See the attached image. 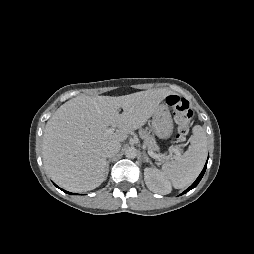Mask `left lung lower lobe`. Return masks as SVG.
Here are the masks:
<instances>
[{"label": "left lung lower lobe", "mask_w": 254, "mask_h": 254, "mask_svg": "<svg viewBox=\"0 0 254 254\" xmlns=\"http://www.w3.org/2000/svg\"><path fill=\"white\" fill-rule=\"evenodd\" d=\"M206 167H207V163H206L204 169L202 170L201 174L196 179V181L187 190H185L182 194L187 193L189 190H191V189H193L194 187L197 186V184L200 182V180L202 179V177L205 173Z\"/></svg>", "instance_id": "left-lung-lower-lobe-1"}]
</instances>
